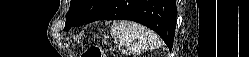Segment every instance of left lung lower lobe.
<instances>
[{"mask_svg":"<svg viewBox=\"0 0 249 57\" xmlns=\"http://www.w3.org/2000/svg\"><path fill=\"white\" fill-rule=\"evenodd\" d=\"M176 16L175 0H110L100 12L84 23L97 20H132L154 30L171 49Z\"/></svg>","mask_w":249,"mask_h":57,"instance_id":"obj_1","label":"left lung lower lobe"}]
</instances>
